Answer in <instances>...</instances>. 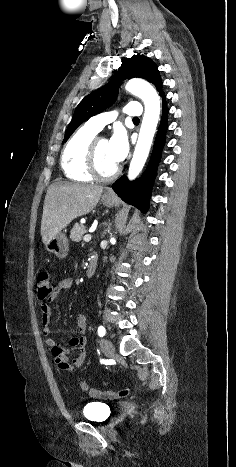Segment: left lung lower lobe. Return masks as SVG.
I'll return each instance as SVG.
<instances>
[{
    "instance_id": "0a47b994",
    "label": "left lung lower lobe",
    "mask_w": 236,
    "mask_h": 467,
    "mask_svg": "<svg viewBox=\"0 0 236 467\" xmlns=\"http://www.w3.org/2000/svg\"><path fill=\"white\" fill-rule=\"evenodd\" d=\"M159 94L163 100L162 118L146 172L136 181L129 182L127 178L123 176L112 185V189L122 200L141 209L142 212H146L149 208L151 189L156 176V169L160 160L161 150L165 140V132L167 130L168 108L166 106V97L163 91H160Z\"/></svg>"
}]
</instances>
